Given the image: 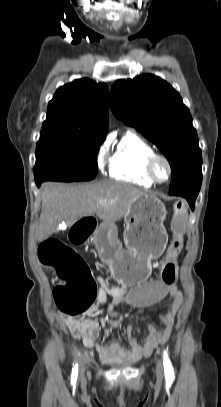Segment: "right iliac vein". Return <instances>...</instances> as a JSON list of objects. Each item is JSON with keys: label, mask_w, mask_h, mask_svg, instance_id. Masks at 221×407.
<instances>
[{"label": "right iliac vein", "mask_w": 221, "mask_h": 407, "mask_svg": "<svg viewBox=\"0 0 221 407\" xmlns=\"http://www.w3.org/2000/svg\"><path fill=\"white\" fill-rule=\"evenodd\" d=\"M83 371H84V366L81 367V373H83Z\"/></svg>", "instance_id": "right-iliac-vein-1"}]
</instances>
